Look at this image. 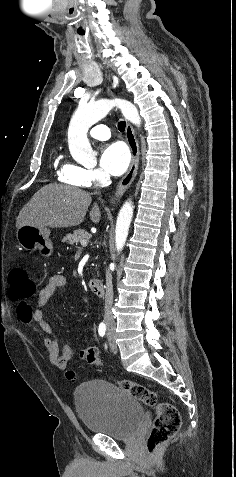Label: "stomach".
Here are the masks:
<instances>
[{
	"label": "stomach",
	"instance_id": "stomach-1",
	"mask_svg": "<svg viewBox=\"0 0 236 477\" xmlns=\"http://www.w3.org/2000/svg\"><path fill=\"white\" fill-rule=\"evenodd\" d=\"M48 228L39 229L31 225L21 226L16 233L19 245L28 251H39L44 257H50L54 251Z\"/></svg>",
	"mask_w": 236,
	"mask_h": 477
}]
</instances>
